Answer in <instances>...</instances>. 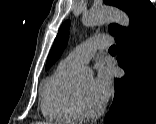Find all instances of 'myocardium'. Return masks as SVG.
Returning a JSON list of instances; mask_svg holds the SVG:
<instances>
[{
  "label": "myocardium",
  "instance_id": "f54148a6",
  "mask_svg": "<svg viewBox=\"0 0 156 124\" xmlns=\"http://www.w3.org/2000/svg\"><path fill=\"white\" fill-rule=\"evenodd\" d=\"M73 92H74L75 105L81 117L88 118V119L95 118L104 111L105 108L104 104H101V106H99L96 109H89L86 106L78 82L74 83Z\"/></svg>",
  "mask_w": 156,
  "mask_h": 124
}]
</instances>
